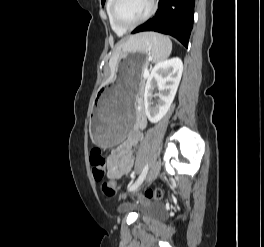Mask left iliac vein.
I'll use <instances>...</instances> for the list:
<instances>
[{
	"instance_id": "1",
	"label": "left iliac vein",
	"mask_w": 264,
	"mask_h": 247,
	"mask_svg": "<svg viewBox=\"0 0 264 247\" xmlns=\"http://www.w3.org/2000/svg\"><path fill=\"white\" fill-rule=\"evenodd\" d=\"M160 169H161V162L159 160L155 161L150 168L145 184H149L150 182H152L159 174Z\"/></svg>"
}]
</instances>
